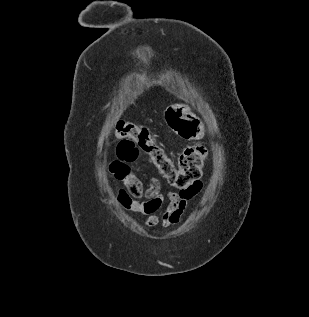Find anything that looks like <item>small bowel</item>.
Listing matches in <instances>:
<instances>
[{
  "instance_id": "1",
  "label": "small bowel",
  "mask_w": 309,
  "mask_h": 317,
  "mask_svg": "<svg viewBox=\"0 0 309 317\" xmlns=\"http://www.w3.org/2000/svg\"><path fill=\"white\" fill-rule=\"evenodd\" d=\"M130 152L129 145L117 148V158L109 164L110 173L124 186L117 191V202L127 210L143 215V224L147 227L161 225L168 228L178 224L189 201L201 192L202 181L199 180L191 188L179 192L164 193L157 180L144 188L132 171L134 161L125 156ZM165 201H168L167 207L159 214Z\"/></svg>"
}]
</instances>
